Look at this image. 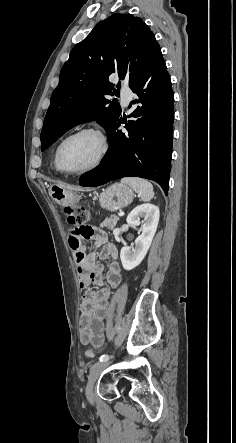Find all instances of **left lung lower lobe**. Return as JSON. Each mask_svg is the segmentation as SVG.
Wrapping results in <instances>:
<instances>
[{
    "label": "left lung lower lobe",
    "mask_w": 236,
    "mask_h": 443,
    "mask_svg": "<svg viewBox=\"0 0 236 443\" xmlns=\"http://www.w3.org/2000/svg\"><path fill=\"white\" fill-rule=\"evenodd\" d=\"M141 103L130 114L134 120L118 130L121 118L107 132L110 148L102 165L82 175L81 186H99L123 177L156 181L167 195L171 169L174 97L159 44H156L138 77L130 84Z\"/></svg>",
    "instance_id": "left-lung-lower-lobe-1"
}]
</instances>
